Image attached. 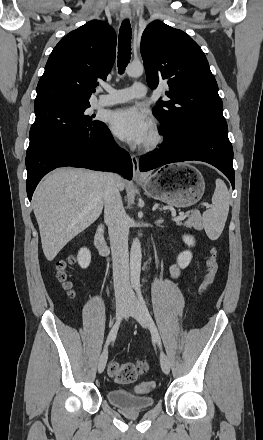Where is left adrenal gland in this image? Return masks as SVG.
<instances>
[{"label":"left adrenal gland","mask_w":263,"mask_h":440,"mask_svg":"<svg viewBox=\"0 0 263 440\" xmlns=\"http://www.w3.org/2000/svg\"><path fill=\"white\" fill-rule=\"evenodd\" d=\"M162 222H163V219H162V218L156 220V223H157L158 225H160Z\"/></svg>","instance_id":"1"}]
</instances>
